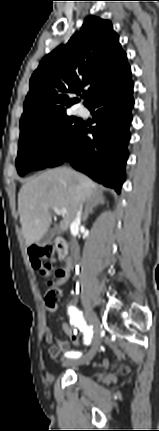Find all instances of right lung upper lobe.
<instances>
[{
    "label": "right lung upper lobe",
    "instance_id": "obj_1",
    "mask_svg": "<svg viewBox=\"0 0 159 431\" xmlns=\"http://www.w3.org/2000/svg\"><path fill=\"white\" fill-rule=\"evenodd\" d=\"M131 76L126 53L110 21L89 16L69 42L46 55L30 79L24 103L21 131L66 112L79 102L84 87L89 107L103 92Z\"/></svg>",
    "mask_w": 159,
    "mask_h": 431
}]
</instances>
